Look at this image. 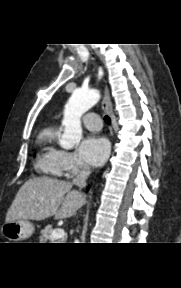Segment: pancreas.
Instances as JSON below:
<instances>
[{
	"instance_id": "1",
	"label": "pancreas",
	"mask_w": 181,
	"mask_h": 288,
	"mask_svg": "<svg viewBox=\"0 0 181 288\" xmlns=\"http://www.w3.org/2000/svg\"><path fill=\"white\" fill-rule=\"evenodd\" d=\"M54 231L51 225H47L42 231L39 237L41 243H46L47 241H52L51 234ZM64 240V239H61Z\"/></svg>"
}]
</instances>
